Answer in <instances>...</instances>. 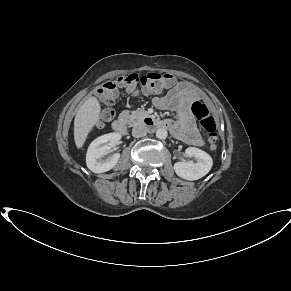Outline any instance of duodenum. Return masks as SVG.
<instances>
[{"label":"duodenum","mask_w":291,"mask_h":291,"mask_svg":"<svg viewBox=\"0 0 291 291\" xmlns=\"http://www.w3.org/2000/svg\"><path fill=\"white\" fill-rule=\"evenodd\" d=\"M144 125L150 129H163L167 128L166 124L162 120L155 119L151 116L144 119ZM113 129L118 133L125 132V118L119 117L112 123Z\"/></svg>","instance_id":"410a0bca"}]
</instances>
